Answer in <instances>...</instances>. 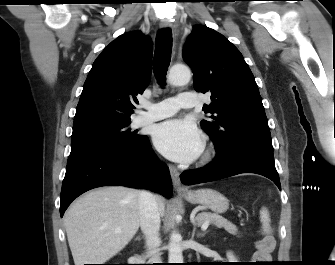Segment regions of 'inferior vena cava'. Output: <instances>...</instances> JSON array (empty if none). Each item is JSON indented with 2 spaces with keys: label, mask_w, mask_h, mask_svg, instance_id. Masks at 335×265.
<instances>
[{
  "label": "inferior vena cava",
  "mask_w": 335,
  "mask_h": 265,
  "mask_svg": "<svg viewBox=\"0 0 335 265\" xmlns=\"http://www.w3.org/2000/svg\"><path fill=\"white\" fill-rule=\"evenodd\" d=\"M140 227L146 239L147 255L154 263H160L157 248L160 245V213L155 196L148 191L139 194Z\"/></svg>",
  "instance_id": "inferior-vena-cava-1"
}]
</instances>
